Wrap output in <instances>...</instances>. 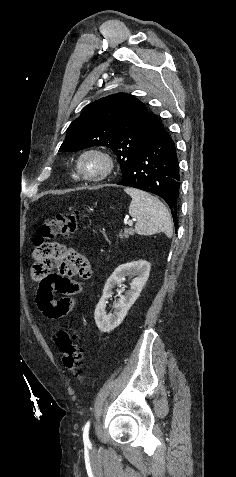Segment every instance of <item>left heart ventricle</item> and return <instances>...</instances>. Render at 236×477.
I'll return each mask as SVG.
<instances>
[{
  "label": "left heart ventricle",
  "mask_w": 236,
  "mask_h": 477,
  "mask_svg": "<svg viewBox=\"0 0 236 477\" xmlns=\"http://www.w3.org/2000/svg\"><path fill=\"white\" fill-rule=\"evenodd\" d=\"M82 170L87 175H95L100 173L104 168V162L97 156H87L82 161Z\"/></svg>",
  "instance_id": "obj_1"
}]
</instances>
